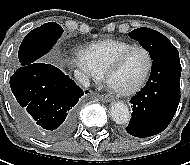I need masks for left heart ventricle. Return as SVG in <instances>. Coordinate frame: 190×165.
<instances>
[{
	"instance_id": "1",
	"label": "left heart ventricle",
	"mask_w": 190,
	"mask_h": 165,
	"mask_svg": "<svg viewBox=\"0 0 190 165\" xmlns=\"http://www.w3.org/2000/svg\"><path fill=\"white\" fill-rule=\"evenodd\" d=\"M148 65L144 51L136 49L126 55L119 68L110 78V84L119 89H128L143 77Z\"/></svg>"
}]
</instances>
